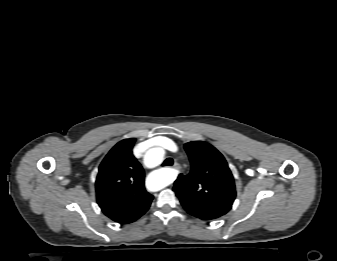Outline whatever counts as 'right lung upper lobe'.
<instances>
[{"label": "right lung upper lobe", "instance_id": "1", "mask_svg": "<svg viewBox=\"0 0 337 261\" xmlns=\"http://www.w3.org/2000/svg\"><path fill=\"white\" fill-rule=\"evenodd\" d=\"M135 140L117 143L103 159L96 179V197L102 212L121 224L140 218L153 199L144 187V170L132 154Z\"/></svg>", "mask_w": 337, "mask_h": 261}]
</instances>
